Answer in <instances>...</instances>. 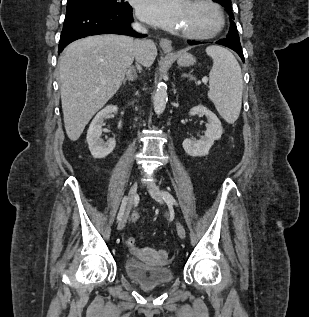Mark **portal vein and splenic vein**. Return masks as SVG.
Listing matches in <instances>:
<instances>
[{
    "label": "portal vein and splenic vein",
    "mask_w": 309,
    "mask_h": 317,
    "mask_svg": "<svg viewBox=\"0 0 309 317\" xmlns=\"http://www.w3.org/2000/svg\"><path fill=\"white\" fill-rule=\"evenodd\" d=\"M202 81H203L204 83H207V79H206V78H204Z\"/></svg>",
    "instance_id": "portal-vein-and-splenic-vein-1"
}]
</instances>
